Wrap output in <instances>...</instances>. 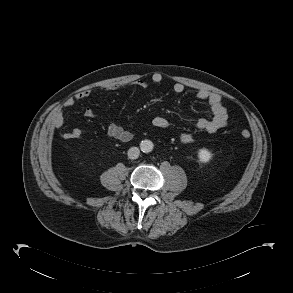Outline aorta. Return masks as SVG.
Here are the masks:
<instances>
[{
    "instance_id": "762f6f07",
    "label": "aorta",
    "mask_w": 293,
    "mask_h": 293,
    "mask_svg": "<svg viewBox=\"0 0 293 293\" xmlns=\"http://www.w3.org/2000/svg\"><path fill=\"white\" fill-rule=\"evenodd\" d=\"M140 149L144 153H149L153 150V143L150 140H143L140 143Z\"/></svg>"
}]
</instances>
